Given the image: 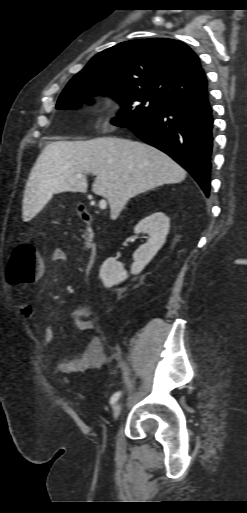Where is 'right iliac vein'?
<instances>
[{"mask_svg": "<svg viewBox=\"0 0 247 513\" xmlns=\"http://www.w3.org/2000/svg\"><path fill=\"white\" fill-rule=\"evenodd\" d=\"M114 420H117V418L119 417L121 411H122V403L121 402H117L114 404Z\"/></svg>", "mask_w": 247, "mask_h": 513, "instance_id": "right-iliac-vein-1", "label": "right iliac vein"}]
</instances>
